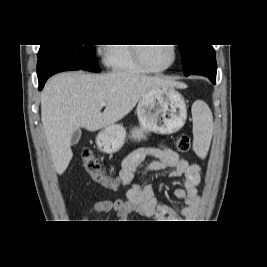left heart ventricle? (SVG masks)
Returning <instances> with one entry per match:
<instances>
[{"label":"left heart ventricle","mask_w":267,"mask_h":267,"mask_svg":"<svg viewBox=\"0 0 267 267\" xmlns=\"http://www.w3.org/2000/svg\"><path fill=\"white\" fill-rule=\"evenodd\" d=\"M142 51L147 63L154 68L167 66L173 58L172 48L169 44L144 46Z\"/></svg>","instance_id":"b2bd125f"}]
</instances>
